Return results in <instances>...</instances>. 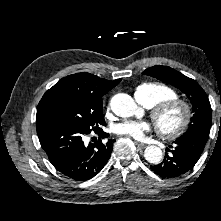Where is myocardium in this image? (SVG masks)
I'll return each mask as SVG.
<instances>
[{"label": "myocardium", "mask_w": 221, "mask_h": 221, "mask_svg": "<svg viewBox=\"0 0 221 221\" xmlns=\"http://www.w3.org/2000/svg\"><path fill=\"white\" fill-rule=\"evenodd\" d=\"M171 109H176L179 112V120L173 127L165 128L161 124V118L165 112ZM151 117L158 134L164 139L173 140L180 137L188 128L192 117V110L185 100L173 98L153 106Z\"/></svg>", "instance_id": "f54148a6"}]
</instances>
